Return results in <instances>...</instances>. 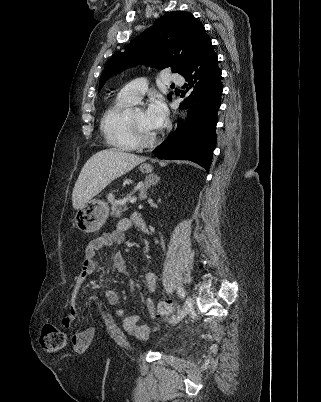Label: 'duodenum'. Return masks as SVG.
<instances>
[{
	"label": "duodenum",
	"mask_w": 321,
	"mask_h": 402,
	"mask_svg": "<svg viewBox=\"0 0 321 402\" xmlns=\"http://www.w3.org/2000/svg\"><path fill=\"white\" fill-rule=\"evenodd\" d=\"M136 220H138V221H140V222L142 221V217H141L140 214H137V215H136Z\"/></svg>",
	"instance_id": "duodenum-1"
}]
</instances>
